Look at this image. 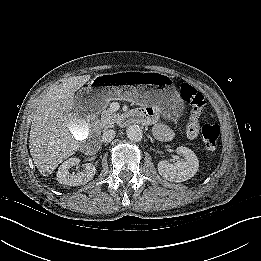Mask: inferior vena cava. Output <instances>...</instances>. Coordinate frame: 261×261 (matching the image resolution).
Masks as SVG:
<instances>
[{
  "instance_id": "1",
  "label": "inferior vena cava",
  "mask_w": 261,
  "mask_h": 261,
  "mask_svg": "<svg viewBox=\"0 0 261 261\" xmlns=\"http://www.w3.org/2000/svg\"><path fill=\"white\" fill-rule=\"evenodd\" d=\"M116 132L113 129L107 130L102 134V142H111L115 138Z\"/></svg>"
}]
</instances>
